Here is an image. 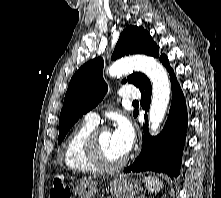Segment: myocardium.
<instances>
[{
  "instance_id": "obj_1",
  "label": "myocardium",
  "mask_w": 221,
  "mask_h": 198,
  "mask_svg": "<svg viewBox=\"0 0 221 198\" xmlns=\"http://www.w3.org/2000/svg\"><path fill=\"white\" fill-rule=\"evenodd\" d=\"M109 131L107 127H96L89 135L87 140V152L90 160L101 170L112 171L123 167L128 158L124 156L118 161H109L104 156L100 146V136Z\"/></svg>"
}]
</instances>
